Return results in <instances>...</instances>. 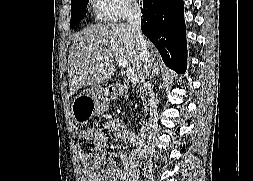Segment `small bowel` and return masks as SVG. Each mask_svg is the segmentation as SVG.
<instances>
[{
  "label": "small bowel",
  "mask_w": 253,
  "mask_h": 181,
  "mask_svg": "<svg viewBox=\"0 0 253 181\" xmlns=\"http://www.w3.org/2000/svg\"><path fill=\"white\" fill-rule=\"evenodd\" d=\"M106 129L114 136L122 139L124 142L133 145L134 149L121 155L122 163L115 161L108 163L106 169L102 172H85L87 181H136L138 178V161L142 150V142L133 131L127 129L119 120L111 121Z\"/></svg>",
  "instance_id": "c3829d8e"
}]
</instances>
